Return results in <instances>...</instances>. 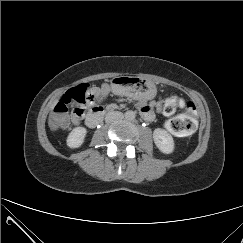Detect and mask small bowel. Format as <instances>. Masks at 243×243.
Segmentation results:
<instances>
[{
    "label": "small bowel",
    "mask_w": 243,
    "mask_h": 243,
    "mask_svg": "<svg viewBox=\"0 0 243 243\" xmlns=\"http://www.w3.org/2000/svg\"><path fill=\"white\" fill-rule=\"evenodd\" d=\"M109 92V88L107 85H102L101 87L93 88L94 99L89 105H93L95 100H100L105 97ZM161 103L160 101H151L148 102L144 99H141L138 102V109L142 115V117L146 121H152L155 118V114L160 111ZM73 122L77 124L79 120L73 119Z\"/></svg>",
    "instance_id": "small-bowel-1"
}]
</instances>
